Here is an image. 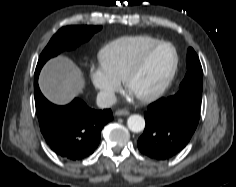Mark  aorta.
<instances>
[{"label": "aorta", "instance_id": "762f6f07", "mask_svg": "<svg viewBox=\"0 0 236 187\" xmlns=\"http://www.w3.org/2000/svg\"><path fill=\"white\" fill-rule=\"evenodd\" d=\"M128 128L135 133L141 132L145 128V120L141 115H131L127 120Z\"/></svg>", "mask_w": 236, "mask_h": 187}]
</instances>
